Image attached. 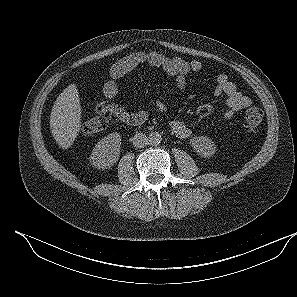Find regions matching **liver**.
<instances>
[{
    "instance_id": "obj_1",
    "label": "liver",
    "mask_w": 297,
    "mask_h": 297,
    "mask_svg": "<svg viewBox=\"0 0 297 297\" xmlns=\"http://www.w3.org/2000/svg\"><path fill=\"white\" fill-rule=\"evenodd\" d=\"M81 127V105L77 86L70 84L57 97L50 115L51 133L57 144L67 149L73 145Z\"/></svg>"
}]
</instances>
